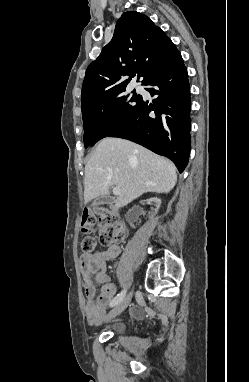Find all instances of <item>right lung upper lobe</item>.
I'll use <instances>...</instances> for the list:
<instances>
[{
  "label": "right lung upper lobe",
  "mask_w": 249,
  "mask_h": 382,
  "mask_svg": "<svg viewBox=\"0 0 249 382\" xmlns=\"http://www.w3.org/2000/svg\"><path fill=\"white\" fill-rule=\"evenodd\" d=\"M179 56L172 41L150 18L139 12H125L116 23L111 42L86 70L82 108L123 95L135 73L144 85L151 74ZM127 75L130 77L123 81Z\"/></svg>",
  "instance_id": "obj_1"
}]
</instances>
